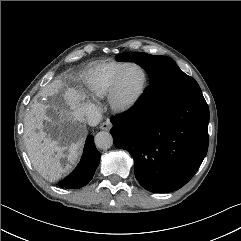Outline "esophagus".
<instances>
[{
    "label": "esophagus",
    "instance_id": "34e87169",
    "mask_svg": "<svg viewBox=\"0 0 241 241\" xmlns=\"http://www.w3.org/2000/svg\"><path fill=\"white\" fill-rule=\"evenodd\" d=\"M111 127H112V123H111L109 120L103 122V123L100 125V129L105 130V131L110 130Z\"/></svg>",
    "mask_w": 241,
    "mask_h": 241
}]
</instances>
